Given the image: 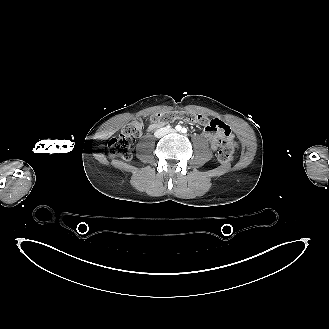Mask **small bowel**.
I'll list each match as a JSON object with an SVG mask.
<instances>
[{
  "mask_svg": "<svg viewBox=\"0 0 329 329\" xmlns=\"http://www.w3.org/2000/svg\"><path fill=\"white\" fill-rule=\"evenodd\" d=\"M212 119L209 122L210 127L215 128V130L205 128L204 129V136L210 141L211 148L213 150H217L219 143L224 139L233 140V133L228 125L223 123L222 121ZM156 125H149L148 131H153L157 128Z\"/></svg>",
  "mask_w": 329,
  "mask_h": 329,
  "instance_id": "small-bowel-1",
  "label": "small bowel"
}]
</instances>
